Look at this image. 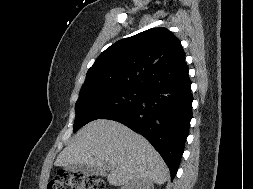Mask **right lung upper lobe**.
<instances>
[{
  "mask_svg": "<svg viewBox=\"0 0 253 189\" xmlns=\"http://www.w3.org/2000/svg\"><path fill=\"white\" fill-rule=\"evenodd\" d=\"M188 77L181 43L167 28H151L122 39L101 53L80 93L125 86L146 91Z\"/></svg>",
  "mask_w": 253,
  "mask_h": 189,
  "instance_id": "cb5924a9",
  "label": "right lung upper lobe"
}]
</instances>
